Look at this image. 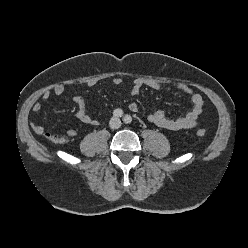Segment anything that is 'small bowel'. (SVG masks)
<instances>
[{
	"label": "small bowel",
	"mask_w": 248,
	"mask_h": 248,
	"mask_svg": "<svg viewBox=\"0 0 248 248\" xmlns=\"http://www.w3.org/2000/svg\"><path fill=\"white\" fill-rule=\"evenodd\" d=\"M113 83L115 85H120L123 83V79L121 77H116L113 79ZM96 84L95 81H89L87 82L88 87H92ZM144 87H148L154 90H162L165 89V85L162 84L159 81L153 80V79H135L132 82L131 86V95L137 96L141 90ZM171 88L175 91L184 93L190 97V100L192 102V108L191 110L186 113L184 116L172 119L169 118L164 111L157 110L153 113H151L148 116V120L155 124L158 127L167 129V130H182V129H191L198 125L199 117L203 111V105L204 101L202 96L194 91L190 86L184 84V83H173L171 85ZM65 92V87L63 85H57L55 86L51 91H46L42 94L41 98L43 100H48L52 95L58 97L61 96ZM73 101L77 106V110L74 113V116L76 119L81 121L82 123L91 124V125H98L99 121L95 118H93L87 109L85 100L82 96L76 95L73 97ZM42 105L40 102H35L32 106V111L37 113L41 110ZM129 109L132 112H137L139 109V106L137 103L132 102L129 104ZM31 127L33 131L38 135H44L48 136L49 134L45 133V127L38 123V122H31ZM67 135L70 138H74L77 135L76 130L69 129L67 131ZM50 138V137H49Z\"/></svg>",
	"instance_id": "c3829d8e"
}]
</instances>
